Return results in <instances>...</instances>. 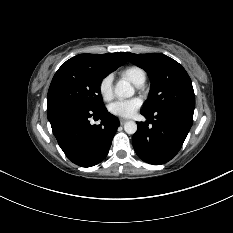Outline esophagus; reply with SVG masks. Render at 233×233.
<instances>
[{
    "mask_svg": "<svg viewBox=\"0 0 233 233\" xmlns=\"http://www.w3.org/2000/svg\"><path fill=\"white\" fill-rule=\"evenodd\" d=\"M127 122V119H124V118H120V123L123 125L124 123Z\"/></svg>",
    "mask_w": 233,
    "mask_h": 233,
    "instance_id": "34e87169",
    "label": "esophagus"
}]
</instances>
